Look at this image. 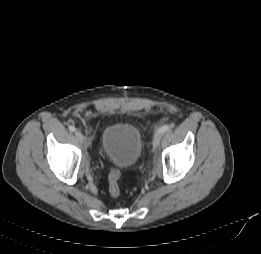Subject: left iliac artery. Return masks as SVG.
Wrapping results in <instances>:
<instances>
[{
	"instance_id": "left-iliac-artery-1",
	"label": "left iliac artery",
	"mask_w": 261,
	"mask_h": 254,
	"mask_svg": "<svg viewBox=\"0 0 261 254\" xmlns=\"http://www.w3.org/2000/svg\"><path fill=\"white\" fill-rule=\"evenodd\" d=\"M170 128H171L170 125H164V126H162L161 128L158 129L157 133L164 134L167 131H169Z\"/></svg>"
}]
</instances>
